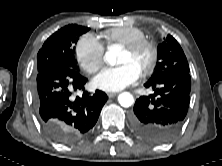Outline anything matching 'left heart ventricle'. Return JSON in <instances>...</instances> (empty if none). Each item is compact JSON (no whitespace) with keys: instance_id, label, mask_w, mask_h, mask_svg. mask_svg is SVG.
I'll return each instance as SVG.
<instances>
[{"instance_id":"1","label":"left heart ventricle","mask_w":222,"mask_h":166,"mask_svg":"<svg viewBox=\"0 0 222 166\" xmlns=\"http://www.w3.org/2000/svg\"><path fill=\"white\" fill-rule=\"evenodd\" d=\"M149 61V53L147 51H141L137 54H130L127 51L123 50L120 63H131L133 64L139 71H141Z\"/></svg>"}]
</instances>
